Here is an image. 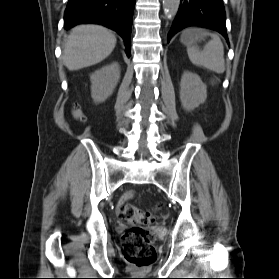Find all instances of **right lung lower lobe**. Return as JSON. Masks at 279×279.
<instances>
[{
  "label": "right lung lower lobe",
  "instance_id": "obj_1",
  "mask_svg": "<svg viewBox=\"0 0 279 279\" xmlns=\"http://www.w3.org/2000/svg\"><path fill=\"white\" fill-rule=\"evenodd\" d=\"M134 7L135 0H69L64 14V28L68 30L83 23L111 28L123 38L129 57Z\"/></svg>",
  "mask_w": 279,
  "mask_h": 279
}]
</instances>
